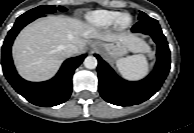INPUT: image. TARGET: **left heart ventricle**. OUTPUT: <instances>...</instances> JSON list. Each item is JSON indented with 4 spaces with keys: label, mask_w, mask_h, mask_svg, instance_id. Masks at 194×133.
I'll return each mask as SVG.
<instances>
[{
    "label": "left heart ventricle",
    "mask_w": 194,
    "mask_h": 133,
    "mask_svg": "<svg viewBox=\"0 0 194 133\" xmlns=\"http://www.w3.org/2000/svg\"><path fill=\"white\" fill-rule=\"evenodd\" d=\"M128 18L127 17H124L123 18V22H127Z\"/></svg>",
    "instance_id": "obj_1"
}]
</instances>
